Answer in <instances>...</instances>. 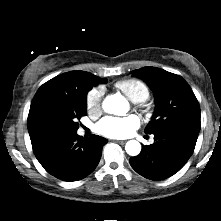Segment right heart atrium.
I'll return each mask as SVG.
<instances>
[{
  "label": "right heart atrium",
  "mask_w": 221,
  "mask_h": 221,
  "mask_svg": "<svg viewBox=\"0 0 221 221\" xmlns=\"http://www.w3.org/2000/svg\"><path fill=\"white\" fill-rule=\"evenodd\" d=\"M102 96V87H95L88 92L86 97V107L90 113H98L100 111Z\"/></svg>",
  "instance_id": "obj_1"
}]
</instances>
